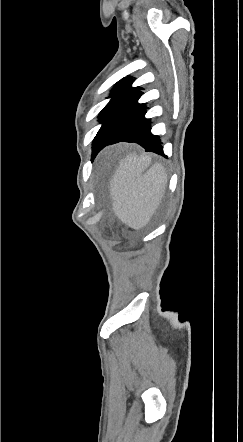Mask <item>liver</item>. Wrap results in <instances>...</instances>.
I'll return each mask as SVG.
<instances>
[{
    "label": "liver",
    "mask_w": 243,
    "mask_h": 442,
    "mask_svg": "<svg viewBox=\"0 0 243 442\" xmlns=\"http://www.w3.org/2000/svg\"><path fill=\"white\" fill-rule=\"evenodd\" d=\"M150 154L129 153L123 157L110 180L109 192L115 215L128 227L146 226L166 192L167 172L160 163L148 168Z\"/></svg>",
    "instance_id": "liver-1"
}]
</instances>
